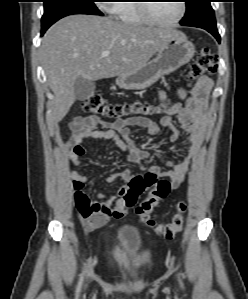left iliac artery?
<instances>
[{"instance_id": "obj_1", "label": "left iliac artery", "mask_w": 248, "mask_h": 299, "mask_svg": "<svg viewBox=\"0 0 248 299\" xmlns=\"http://www.w3.org/2000/svg\"><path fill=\"white\" fill-rule=\"evenodd\" d=\"M180 283H181V286L183 287V283L181 282V280H180Z\"/></svg>"}]
</instances>
